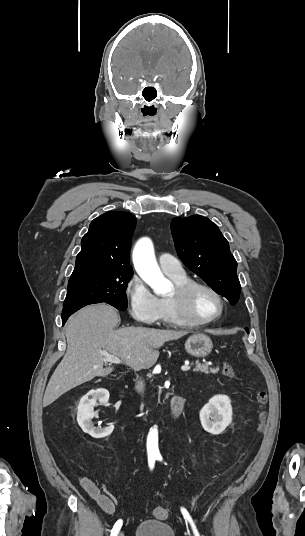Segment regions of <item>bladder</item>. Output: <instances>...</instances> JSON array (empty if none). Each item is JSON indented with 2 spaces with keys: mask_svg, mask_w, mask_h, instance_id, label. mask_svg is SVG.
I'll use <instances>...</instances> for the list:
<instances>
[{
  "mask_svg": "<svg viewBox=\"0 0 305 536\" xmlns=\"http://www.w3.org/2000/svg\"><path fill=\"white\" fill-rule=\"evenodd\" d=\"M134 536H175L167 520L147 518L135 526Z\"/></svg>",
  "mask_w": 305,
  "mask_h": 536,
  "instance_id": "obj_1",
  "label": "bladder"
}]
</instances>
